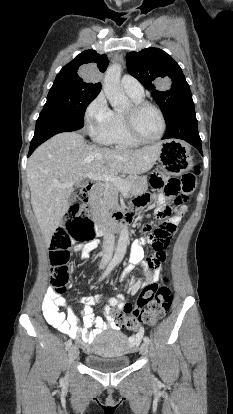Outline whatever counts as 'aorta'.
I'll return each instance as SVG.
<instances>
[{"label":"aorta","instance_id":"obj_1","mask_svg":"<svg viewBox=\"0 0 233 414\" xmlns=\"http://www.w3.org/2000/svg\"><path fill=\"white\" fill-rule=\"evenodd\" d=\"M121 72L122 68L120 64L109 66L105 72L103 82L104 93L110 105L115 109L124 108L129 104L128 97L120 87ZM128 241L129 231L128 227L124 225L119 235L117 248L113 258L114 261H122L127 249Z\"/></svg>","mask_w":233,"mask_h":414}]
</instances>
